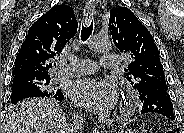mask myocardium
<instances>
[{"label":"myocardium","instance_id":"1","mask_svg":"<svg viewBox=\"0 0 184 133\" xmlns=\"http://www.w3.org/2000/svg\"><path fill=\"white\" fill-rule=\"evenodd\" d=\"M131 109L129 108V106L126 103H123L120 107V114L122 116L126 115L128 112H130Z\"/></svg>","mask_w":184,"mask_h":133}]
</instances>
